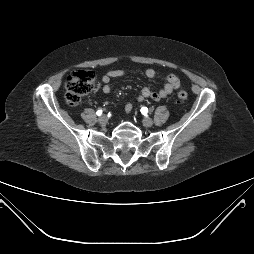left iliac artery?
Segmentation results:
<instances>
[{
	"instance_id": "1",
	"label": "left iliac artery",
	"mask_w": 254,
	"mask_h": 254,
	"mask_svg": "<svg viewBox=\"0 0 254 254\" xmlns=\"http://www.w3.org/2000/svg\"><path fill=\"white\" fill-rule=\"evenodd\" d=\"M140 111H141V113H142L143 115H147V113H148V108H147V107H142Z\"/></svg>"
}]
</instances>
